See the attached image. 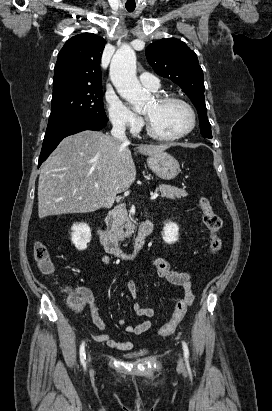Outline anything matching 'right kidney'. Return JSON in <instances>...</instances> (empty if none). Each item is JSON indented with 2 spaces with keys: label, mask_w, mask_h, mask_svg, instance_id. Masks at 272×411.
I'll return each mask as SVG.
<instances>
[{
  "label": "right kidney",
  "mask_w": 272,
  "mask_h": 411,
  "mask_svg": "<svg viewBox=\"0 0 272 411\" xmlns=\"http://www.w3.org/2000/svg\"><path fill=\"white\" fill-rule=\"evenodd\" d=\"M72 242L78 250H85L91 241V229L85 223H77L72 226Z\"/></svg>",
  "instance_id": "1"
}]
</instances>
